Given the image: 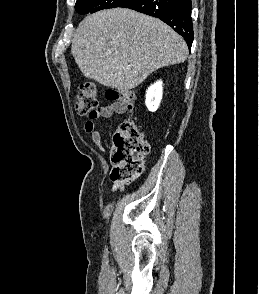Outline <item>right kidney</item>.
Instances as JSON below:
<instances>
[{
  "label": "right kidney",
  "instance_id": "ca27d5eb",
  "mask_svg": "<svg viewBox=\"0 0 259 294\" xmlns=\"http://www.w3.org/2000/svg\"><path fill=\"white\" fill-rule=\"evenodd\" d=\"M162 81H157L151 85L146 92L145 104L149 111L155 112L162 99Z\"/></svg>",
  "mask_w": 259,
  "mask_h": 294
}]
</instances>
